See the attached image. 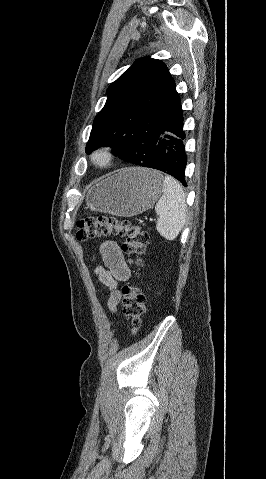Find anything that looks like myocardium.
<instances>
[{
	"mask_svg": "<svg viewBox=\"0 0 266 479\" xmlns=\"http://www.w3.org/2000/svg\"><path fill=\"white\" fill-rule=\"evenodd\" d=\"M113 158L114 151L110 146H101L95 149L90 155L91 163L100 169L108 168Z\"/></svg>",
	"mask_w": 266,
	"mask_h": 479,
	"instance_id": "myocardium-1",
	"label": "myocardium"
}]
</instances>
